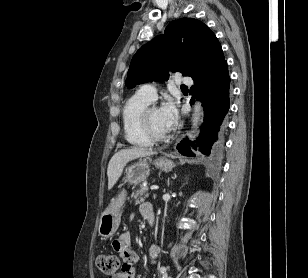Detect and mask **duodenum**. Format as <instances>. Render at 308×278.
<instances>
[{"label":"duodenum","mask_w":308,"mask_h":278,"mask_svg":"<svg viewBox=\"0 0 308 278\" xmlns=\"http://www.w3.org/2000/svg\"><path fill=\"white\" fill-rule=\"evenodd\" d=\"M148 220H149V222L150 223H152L153 222V216H148V218H147Z\"/></svg>","instance_id":"410a0bca"}]
</instances>
